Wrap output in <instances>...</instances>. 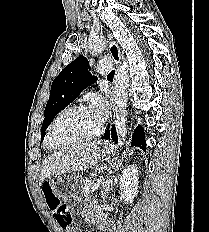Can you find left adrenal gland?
I'll use <instances>...</instances> for the list:
<instances>
[{
  "mask_svg": "<svg viewBox=\"0 0 209 232\" xmlns=\"http://www.w3.org/2000/svg\"><path fill=\"white\" fill-rule=\"evenodd\" d=\"M114 181H116V176H112L110 178H108L107 180H104V182L102 183V194H103V199L106 198V193H108L110 187L113 185Z\"/></svg>",
  "mask_w": 209,
  "mask_h": 232,
  "instance_id": "left-adrenal-gland-1",
  "label": "left adrenal gland"
}]
</instances>
